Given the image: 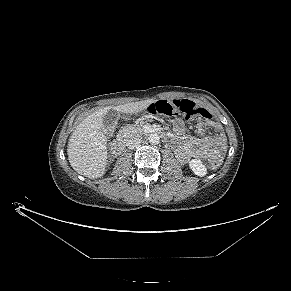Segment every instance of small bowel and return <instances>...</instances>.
<instances>
[{
	"instance_id": "obj_1",
	"label": "small bowel",
	"mask_w": 291,
	"mask_h": 291,
	"mask_svg": "<svg viewBox=\"0 0 291 291\" xmlns=\"http://www.w3.org/2000/svg\"><path fill=\"white\" fill-rule=\"evenodd\" d=\"M205 127L206 124L199 121L196 125V130L202 133ZM211 127L215 129V135L186 140L185 123L182 120H176L174 123L175 134L172 136V141L178 143L176 149L177 157L184 162L190 159L220 160L225 149V137L216 122L213 121Z\"/></svg>"
}]
</instances>
